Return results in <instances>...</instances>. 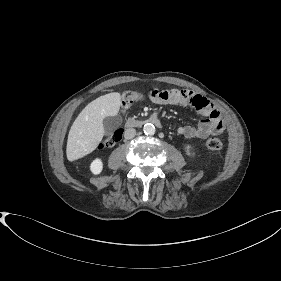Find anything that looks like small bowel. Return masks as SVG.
I'll return each instance as SVG.
<instances>
[{
	"mask_svg": "<svg viewBox=\"0 0 281 281\" xmlns=\"http://www.w3.org/2000/svg\"><path fill=\"white\" fill-rule=\"evenodd\" d=\"M151 100L158 105H173L194 107L205 117L198 126H180L177 132L186 138L205 139L210 135L220 134L225 129V123L220 111L205 97L181 89L151 90Z\"/></svg>",
	"mask_w": 281,
	"mask_h": 281,
	"instance_id": "c3829d8e",
	"label": "small bowel"
}]
</instances>
